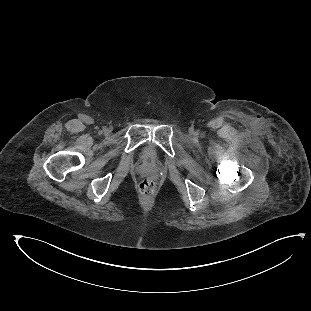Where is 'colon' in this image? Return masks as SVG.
Returning a JSON list of instances; mask_svg holds the SVG:
<instances>
[{
    "instance_id": "5ec220e1",
    "label": "colon",
    "mask_w": 311,
    "mask_h": 311,
    "mask_svg": "<svg viewBox=\"0 0 311 311\" xmlns=\"http://www.w3.org/2000/svg\"><path fill=\"white\" fill-rule=\"evenodd\" d=\"M138 187L140 193L144 195H151L156 190L155 184L149 178H145L142 181H140Z\"/></svg>"
}]
</instances>
